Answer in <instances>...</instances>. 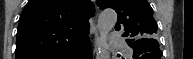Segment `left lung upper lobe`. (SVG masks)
<instances>
[{
  "mask_svg": "<svg viewBox=\"0 0 193 59\" xmlns=\"http://www.w3.org/2000/svg\"><path fill=\"white\" fill-rule=\"evenodd\" d=\"M100 9L112 8L118 14L116 31H123L127 44L157 42V23L147 0H97Z\"/></svg>",
  "mask_w": 193,
  "mask_h": 59,
  "instance_id": "1",
  "label": "left lung upper lobe"
}]
</instances>
